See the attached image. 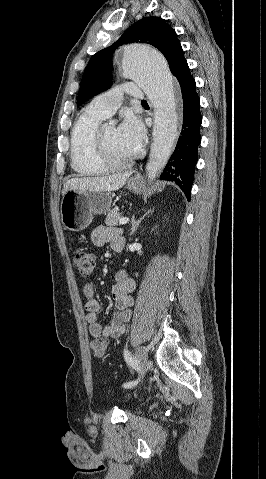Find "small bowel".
<instances>
[{
	"label": "small bowel",
	"mask_w": 266,
	"mask_h": 479,
	"mask_svg": "<svg viewBox=\"0 0 266 479\" xmlns=\"http://www.w3.org/2000/svg\"><path fill=\"white\" fill-rule=\"evenodd\" d=\"M92 243L96 246H103L110 243L111 247L117 244L121 249L124 247L125 240L118 229L109 226H99L95 228L91 235ZM135 282L129 278L125 271H119L115 277V283L112 288V296L115 302V312L109 325L102 326L101 311L102 306L98 299L94 297V288L91 284H85L84 295L86 297L85 308L87 311L86 321L88 323L89 334L93 338H113L120 337L126 329V324L130 319L132 307L134 305L133 292Z\"/></svg>",
	"instance_id": "c3829d8e"
}]
</instances>
